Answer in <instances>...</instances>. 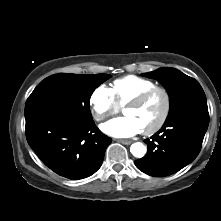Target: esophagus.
Here are the masks:
<instances>
[{
	"label": "esophagus",
	"instance_id": "34e87169",
	"mask_svg": "<svg viewBox=\"0 0 221 221\" xmlns=\"http://www.w3.org/2000/svg\"><path fill=\"white\" fill-rule=\"evenodd\" d=\"M118 142H120L124 145H130L132 143L131 140H126V139H119Z\"/></svg>",
	"mask_w": 221,
	"mask_h": 221
}]
</instances>
